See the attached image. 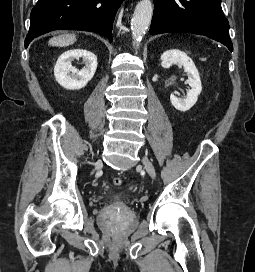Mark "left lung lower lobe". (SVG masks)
<instances>
[{
    "label": "left lung lower lobe",
    "mask_w": 255,
    "mask_h": 272,
    "mask_svg": "<svg viewBox=\"0 0 255 272\" xmlns=\"http://www.w3.org/2000/svg\"><path fill=\"white\" fill-rule=\"evenodd\" d=\"M149 33H194L226 45L232 52L229 23L221 0H154Z\"/></svg>",
    "instance_id": "obj_1"
}]
</instances>
